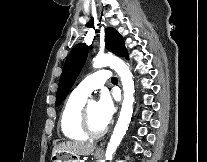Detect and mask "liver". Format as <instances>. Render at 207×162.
Returning <instances> with one entry per match:
<instances>
[{"mask_svg": "<svg viewBox=\"0 0 207 162\" xmlns=\"http://www.w3.org/2000/svg\"><path fill=\"white\" fill-rule=\"evenodd\" d=\"M96 145L94 143H85L79 141H66L61 142L54 146L52 153L54 152H66L74 156H87L90 155Z\"/></svg>", "mask_w": 207, "mask_h": 162, "instance_id": "1", "label": "liver"}]
</instances>
